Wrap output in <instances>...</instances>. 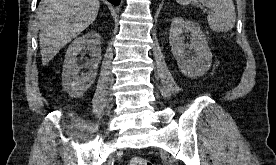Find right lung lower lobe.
I'll list each match as a JSON object with an SVG mask.
<instances>
[{
  "label": "right lung lower lobe",
  "mask_w": 276,
  "mask_h": 165,
  "mask_svg": "<svg viewBox=\"0 0 276 165\" xmlns=\"http://www.w3.org/2000/svg\"><path fill=\"white\" fill-rule=\"evenodd\" d=\"M39 1H40V0H37V3H38ZM108 1L111 2V3L114 4V5H119L121 0H108Z\"/></svg>",
  "instance_id": "obj_1"
}]
</instances>
